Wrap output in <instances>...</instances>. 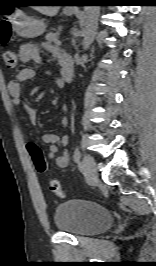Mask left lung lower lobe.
Listing matches in <instances>:
<instances>
[{
    "instance_id": "1",
    "label": "left lung lower lobe",
    "mask_w": 156,
    "mask_h": 266,
    "mask_svg": "<svg viewBox=\"0 0 156 266\" xmlns=\"http://www.w3.org/2000/svg\"><path fill=\"white\" fill-rule=\"evenodd\" d=\"M84 3H103V0H88Z\"/></svg>"
}]
</instances>
